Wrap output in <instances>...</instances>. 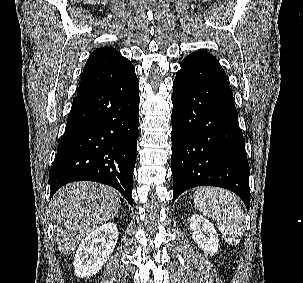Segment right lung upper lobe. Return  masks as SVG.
Segmentation results:
<instances>
[{
  "label": "right lung upper lobe",
  "mask_w": 303,
  "mask_h": 283,
  "mask_svg": "<svg viewBox=\"0 0 303 283\" xmlns=\"http://www.w3.org/2000/svg\"><path fill=\"white\" fill-rule=\"evenodd\" d=\"M133 73L134 66L118 50L112 47L96 49L84 66L77 96L112 86Z\"/></svg>",
  "instance_id": "right-lung-upper-lobe-1"
}]
</instances>
